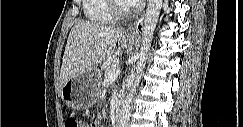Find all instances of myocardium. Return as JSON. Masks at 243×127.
Segmentation results:
<instances>
[{
  "mask_svg": "<svg viewBox=\"0 0 243 127\" xmlns=\"http://www.w3.org/2000/svg\"><path fill=\"white\" fill-rule=\"evenodd\" d=\"M110 9L112 14L118 19L127 18L133 12V6L123 0H111Z\"/></svg>",
  "mask_w": 243,
  "mask_h": 127,
  "instance_id": "myocardium-1",
  "label": "myocardium"
}]
</instances>
